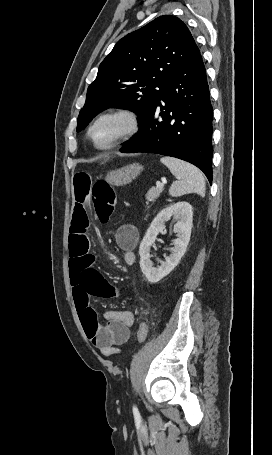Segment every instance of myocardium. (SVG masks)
Segmentation results:
<instances>
[{
    "instance_id": "1",
    "label": "myocardium",
    "mask_w": 272,
    "mask_h": 455,
    "mask_svg": "<svg viewBox=\"0 0 272 455\" xmlns=\"http://www.w3.org/2000/svg\"><path fill=\"white\" fill-rule=\"evenodd\" d=\"M105 119H119L122 123V129L120 133L108 144L98 145L92 138V131L101 121ZM139 130L140 119L138 114L128 107H117L100 112L89 124L86 134L88 140L95 149L107 151L131 139L138 133Z\"/></svg>"
}]
</instances>
